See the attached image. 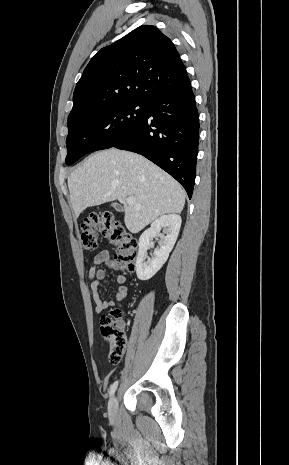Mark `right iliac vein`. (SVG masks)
I'll list each match as a JSON object with an SVG mask.
<instances>
[{"label":"right iliac vein","mask_w":289,"mask_h":465,"mask_svg":"<svg viewBox=\"0 0 289 465\" xmlns=\"http://www.w3.org/2000/svg\"><path fill=\"white\" fill-rule=\"evenodd\" d=\"M117 407H118V400H117V397L113 395L112 398L110 399L109 406H108L109 418L112 421L115 420L116 418Z\"/></svg>","instance_id":"obj_1"}]
</instances>
